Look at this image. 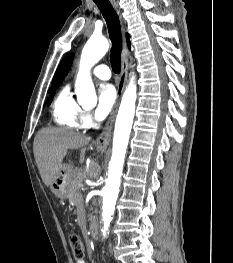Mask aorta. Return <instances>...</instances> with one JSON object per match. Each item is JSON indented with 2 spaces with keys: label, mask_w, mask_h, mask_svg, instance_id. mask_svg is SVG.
<instances>
[{
  "label": "aorta",
  "mask_w": 233,
  "mask_h": 263,
  "mask_svg": "<svg viewBox=\"0 0 233 263\" xmlns=\"http://www.w3.org/2000/svg\"><path fill=\"white\" fill-rule=\"evenodd\" d=\"M108 49L109 43L104 37L92 36L85 44L75 84V93L80 104H87L96 100L90 69L106 54ZM136 97V85L134 77H132L123 94L116 117L108 179L102 191V220L104 223L102 234L104 237L114 214L119 194L120 178L135 114Z\"/></svg>",
  "instance_id": "1"
}]
</instances>
